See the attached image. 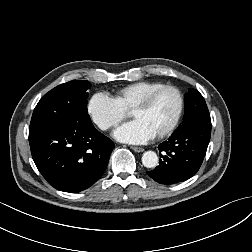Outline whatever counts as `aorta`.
Instances as JSON below:
<instances>
[{
	"label": "aorta",
	"instance_id": "aorta-1",
	"mask_svg": "<svg viewBox=\"0 0 252 252\" xmlns=\"http://www.w3.org/2000/svg\"><path fill=\"white\" fill-rule=\"evenodd\" d=\"M142 164L146 168H154L158 165V156L154 151H146L142 155Z\"/></svg>",
	"mask_w": 252,
	"mask_h": 252
}]
</instances>
